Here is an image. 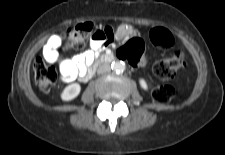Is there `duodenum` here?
Here are the masks:
<instances>
[{"instance_id": "duodenum-1", "label": "duodenum", "mask_w": 225, "mask_h": 155, "mask_svg": "<svg viewBox=\"0 0 225 155\" xmlns=\"http://www.w3.org/2000/svg\"><path fill=\"white\" fill-rule=\"evenodd\" d=\"M114 59H115V57L112 54H104V55L100 56L95 61L94 65L88 69V71L84 77V80H89L94 75L96 67H98L100 65L108 64V63L112 62Z\"/></svg>"}]
</instances>
